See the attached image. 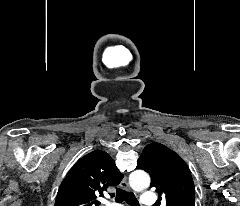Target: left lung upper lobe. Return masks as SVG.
<instances>
[{
  "label": "left lung upper lobe",
  "mask_w": 240,
  "mask_h": 206,
  "mask_svg": "<svg viewBox=\"0 0 240 206\" xmlns=\"http://www.w3.org/2000/svg\"><path fill=\"white\" fill-rule=\"evenodd\" d=\"M136 168L150 174L151 187L156 189L159 197L163 195L166 206H195L194 183L189 168L179 155L165 145H147Z\"/></svg>",
  "instance_id": "1"
}]
</instances>
